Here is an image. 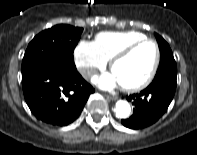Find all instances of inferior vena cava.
Segmentation results:
<instances>
[{"label":"inferior vena cava","instance_id":"1","mask_svg":"<svg viewBox=\"0 0 197 155\" xmlns=\"http://www.w3.org/2000/svg\"><path fill=\"white\" fill-rule=\"evenodd\" d=\"M93 70L92 69H90V68H83V69H81V71H80V73L82 74V76H84V77H89L90 75H92L93 74Z\"/></svg>","mask_w":197,"mask_h":155}]
</instances>
